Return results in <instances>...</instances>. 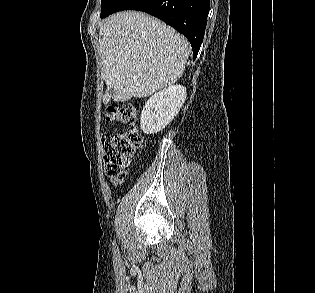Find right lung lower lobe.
Listing matches in <instances>:
<instances>
[{"label":"right lung lower lobe","instance_id":"right-lung-lower-lobe-1","mask_svg":"<svg viewBox=\"0 0 315 293\" xmlns=\"http://www.w3.org/2000/svg\"><path fill=\"white\" fill-rule=\"evenodd\" d=\"M209 9L210 0H112L101 18L122 10H139L153 15L187 37L195 60L204 37Z\"/></svg>","mask_w":315,"mask_h":293}]
</instances>
